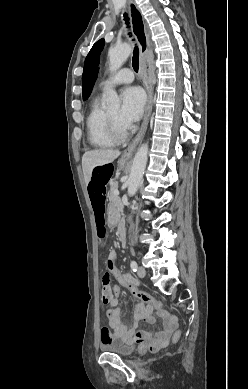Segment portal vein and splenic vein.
Here are the masks:
<instances>
[{
    "label": "portal vein and splenic vein",
    "mask_w": 248,
    "mask_h": 389,
    "mask_svg": "<svg viewBox=\"0 0 248 389\" xmlns=\"http://www.w3.org/2000/svg\"><path fill=\"white\" fill-rule=\"evenodd\" d=\"M115 194H116V195H119V191H118V190H117V191H115Z\"/></svg>",
    "instance_id": "1"
}]
</instances>
